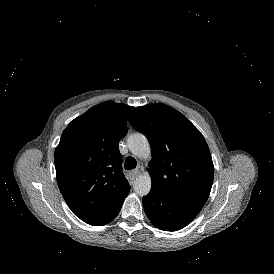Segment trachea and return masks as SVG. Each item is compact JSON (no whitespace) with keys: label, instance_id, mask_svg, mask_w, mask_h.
I'll list each match as a JSON object with an SVG mask.
<instances>
[{"label":"trachea","instance_id":"1","mask_svg":"<svg viewBox=\"0 0 274 274\" xmlns=\"http://www.w3.org/2000/svg\"><path fill=\"white\" fill-rule=\"evenodd\" d=\"M137 165V161L134 157H128L125 161V169L130 170L135 168Z\"/></svg>","mask_w":274,"mask_h":274}]
</instances>
